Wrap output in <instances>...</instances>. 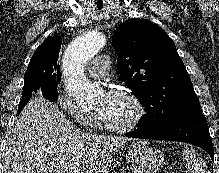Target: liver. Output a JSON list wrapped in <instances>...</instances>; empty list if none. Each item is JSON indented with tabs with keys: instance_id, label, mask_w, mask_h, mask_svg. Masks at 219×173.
Here are the masks:
<instances>
[{
	"instance_id": "6515ba94",
	"label": "liver",
	"mask_w": 219,
	"mask_h": 173,
	"mask_svg": "<svg viewBox=\"0 0 219 173\" xmlns=\"http://www.w3.org/2000/svg\"><path fill=\"white\" fill-rule=\"evenodd\" d=\"M128 140L81 132L39 95L23 108L7 137L4 173H108L110 153Z\"/></svg>"
}]
</instances>
